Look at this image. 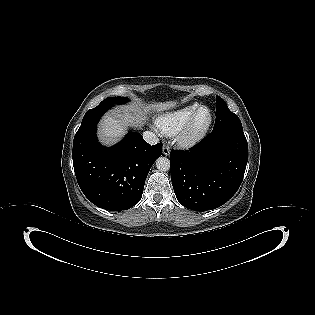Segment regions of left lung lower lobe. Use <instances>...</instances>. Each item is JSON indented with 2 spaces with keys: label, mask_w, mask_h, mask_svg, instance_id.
Here are the masks:
<instances>
[{
  "label": "left lung lower lobe",
  "mask_w": 315,
  "mask_h": 315,
  "mask_svg": "<svg viewBox=\"0 0 315 315\" xmlns=\"http://www.w3.org/2000/svg\"><path fill=\"white\" fill-rule=\"evenodd\" d=\"M248 160L243 129L213 131L187 151L170 153L171 180L186 208L206 211L226 203L239 189Z\"/></svg>",
  "instance_id": "obj_1"
}]
</instances>
